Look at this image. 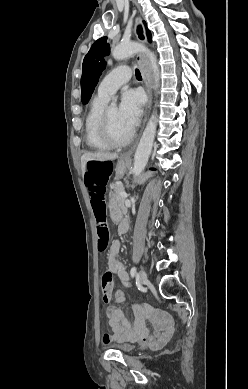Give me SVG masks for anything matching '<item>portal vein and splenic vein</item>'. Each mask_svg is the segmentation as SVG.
<instances>
[{
    "label": "portal vein and splenic vein",
    "mask_w": 248,
    "mask_h": 389,
    "mask_svg": "<svg viewBox=\"0 0 248 389\" xmlns=\"http://www.w3.org/2000/svg\"><path fill=\"white\" fill-rule=\"evenodd\" d=\"M121 196L126 198L128 195L126 194V192L123 191V192H121Z\"/></svg>",
    "instance_id": "18ae733b"
}]
</instances>
